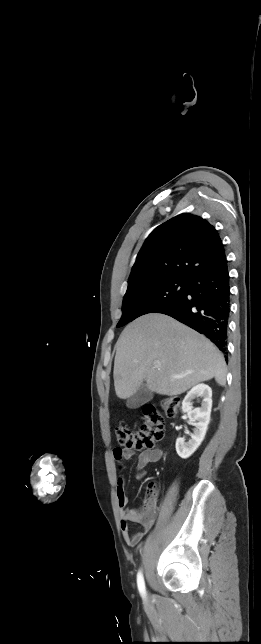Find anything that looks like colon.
Instances as JSON below:
<instances>
[{"label":"colon","instance_id":"1","mask_svg":"<svg viewBox=\"0 0 261 644\" xmlns=\"http://www.w3.org/2000/svg\"><path fill=\"white\" fill-rule=\"evenodd\" d=\"M179 406V399L169 396L161 400L160 406L147 404L143 407V423L137 432L120 425L115 429L117 441L126 448L136 450L151 449L155 443L163 438L164 416L175 417ZM154 509V499L148 496L144 502L143 517L150 518Z\"/></svg>","mask_w":261,"mask_h":644}]
</instances>
